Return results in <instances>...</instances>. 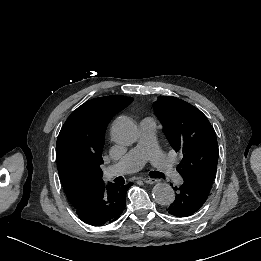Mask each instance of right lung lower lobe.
<instances>
[{
  "instance_id": "98d812e1",
  "label": "right lung lower lobe",
  "mask_w": 261,
  "mask_h": 261,
  "mask_svg": "<svg viewBox=\"0 0 261 261\" xmlns=\"http://www.w3.org/2000/svg\"><path fill=\"white\" fill-rule=\"evenodd\" d=\"M132 183L120 186L104 183L96 186L87 196L72 205L79 218L90 225L102 226L119 218L126 206V192Z\"/></svg>"
}]
</instances>
